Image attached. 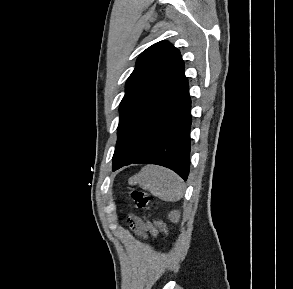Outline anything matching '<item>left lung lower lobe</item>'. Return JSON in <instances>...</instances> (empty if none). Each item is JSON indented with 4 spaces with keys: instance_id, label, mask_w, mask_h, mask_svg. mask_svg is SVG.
<instances>
[{
    "instance_id": "1",
    "label": "left lung lower lobe",
    "mask_w": 293,
    "mask_h": 289,
    "mask_svg": "<svg viewBox=\"0 0 293 289\" xmlns=\"http://www.w3.org/2000/svg\"><path fill=\"white\" fill-rule=\"evenodd\" d=\"M190 126L191 100L184 75L124 133L119 145L132 158L115 170L132 163L157 164L186 180L190 168Z\"/></svg>"
}]
</instances>
